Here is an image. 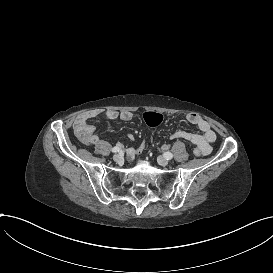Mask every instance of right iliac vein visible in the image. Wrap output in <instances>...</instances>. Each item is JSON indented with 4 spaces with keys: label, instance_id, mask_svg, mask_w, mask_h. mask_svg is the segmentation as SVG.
Returning a JSON list of instances; mask_svg holds the SVG:
<instances>
[{
    "label": "right iliac vein",
    "instance_id": "1",
    "mask_svg": "<svg viewBox=\"0 0 273 273\" xmlns=\"http://www.w3.org/2000/svg\"><path fill=\"white\" fill-rule=\"evenodd\" d=\"M113 160H114L115 162L119 163L120 161L123 160V156H122L121 154H115V155L113 156Z\"/></svg>",
    "mask_w": 273,
    "mask_h": 273
}]
</instances>
